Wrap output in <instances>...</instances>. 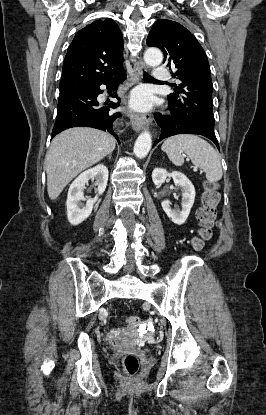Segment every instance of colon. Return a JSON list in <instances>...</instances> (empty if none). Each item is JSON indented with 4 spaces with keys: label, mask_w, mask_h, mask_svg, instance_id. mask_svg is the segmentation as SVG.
I'll return each instance as SVG.
<instances>
[{
    "label": "colon",
    "mask_w": 266,
    "mask_h": 415,
    "mask_svg": "<svg viewBox=\"0 0 266 415\" xmlns=\"http://www.w3.org/2000/svg\"><path fill=\"white\" fill-rule=\"evenodd\" d=\"M220 200V195L217 185L211 182L204 184V191L202 194V205L197 211V220L199 223L198 234L192 239L191 244L195 250H200L204 243L212 236V228L217 215V206ZM128 326L138 329L142 322L137 316H129L126 319ZM122 364L125 372L134 376L139 370V359L136 355L129 353L122 359Z\"/></svg>",
    "instance_id": "1"
}]
</instances>
